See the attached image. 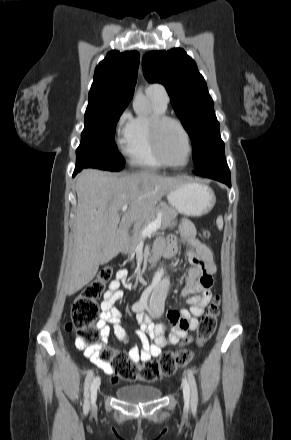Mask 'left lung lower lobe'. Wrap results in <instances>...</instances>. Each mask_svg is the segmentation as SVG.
I'll return each instance as SVG.
<instances>
[{"mask_svg": "<svg viewBox=\"0 0 291 440\" xmlns=\"http://www.w3.org/2000/svg\"><path fill=\"white\" fill-rule=\"evenodd\" d=\"M194 173L199 176L223 182L231 187L230 170L224 154L215 157L207 166L199 170H194Z\"/></svg>", "mask_w": 291, "mask_h": 440, "instance_id": "1", "label": "left lung lower lobe"}]
</instances>
